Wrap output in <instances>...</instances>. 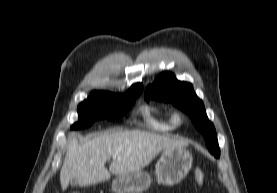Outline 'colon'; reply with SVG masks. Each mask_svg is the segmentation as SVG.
<instances>
[{
  "label": "colon",
  "instance_id": "1",
  "mask_svg": "<svg viewBox=\"0 0 277 193\" xmlns=\"http://www.w3.org/2000/svg\"><path fill=\"white\" fill-rule=\"evenodd\" d=\"M194 179L196 181V183L198 184H202L204 181V173L201 169H195L194 171ZM72 193H81L78 191L72 192Z\"/></svg>",
  "mask_w": 277,
  "mask_h": 193
}]
</instances>
